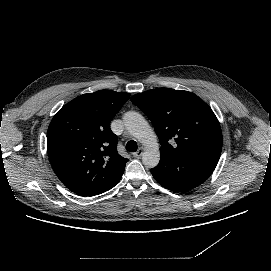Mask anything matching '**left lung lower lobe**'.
Masks as SVG:
<instances>
[{"label": "left lung lower lobe", "mask_w": 271, "mask_h": 271, "mask_svg": "<svg viewBox=\"0 0 271 271\" xmlns=\"http://www.w3.org/2000/svg\"><path fill=\"white\" fill-rule=\"evenodd\" d=\"M160 154V162L151 173L160 185L175 192L189 191L202 184L218 162L168 151H160Z\"/></svg>", "instance_id": "obj_1"}]
</instances>
